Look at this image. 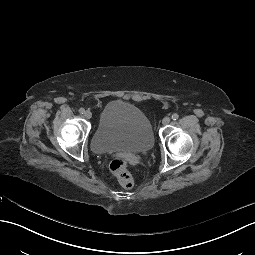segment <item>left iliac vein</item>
<instances>
[{
  "label": "left iliac vein",
  "instance_id": "4c4485c4",
  "mask_svg": "<svg viewBox=\"0 0 255 255\" xmlns=\"http://www.w3.org/2000/svg\"><path fill=\"white\" fill-rule=\"evenodd\" d=\"M171 119L170 117H164L162 120L163 125H168L170 123Z\"/></svg>",
  "mask_w": 255,
  "mask_h": 255
}]
</instances>
